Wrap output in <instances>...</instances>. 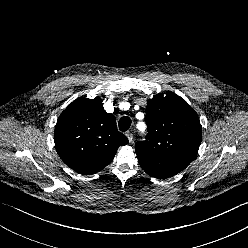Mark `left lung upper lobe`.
Segmentation results:
<instances>
[{
    "instance_id": "left-lung-upper-lobe-1",
    "label": "left lung upper lobe",
    "mask_w": 248,
    "mask_h": 248,
    "mask_svg": "<svg viewBox=\"0 0 248 248\" xmlns=\"http://www.w3.org/2000/svg\"><path fill=\"white\" fill-rule=\"evenodd\" d=\"M148 135L135 145L142 169L167 178L185 169L195 158L202 138L196 112L178 95H155L146 108Z\"/></svg>"
}]
</instances>
